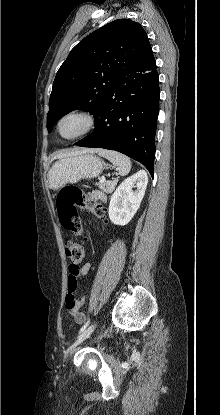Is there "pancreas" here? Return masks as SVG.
Segmentation results:
<instances>
[{
	"label": "pancreas",
	"mask_w": 220,
	"mask_h": 415,
	"mask_svg": "<svg viewBox=\"0 0 220 415\" xmlns=\"http://www.w3.org/2000/svg\"><path fill=\"white\" fill-rule=\"evenodd\" d=\"M118 180H112V181H104V182H99L96 183V185L105 193L110 194L113 192V190L115 189L116 185H117Z\"/></svg>",
	"instance_id": "pancreas-1"
}]
</instances>
